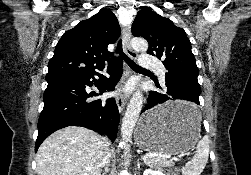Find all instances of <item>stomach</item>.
I'll use <instances>...</instances> for the list:
<instances>
[{
	"instance_id": "0dacf381",
	"label": "stomach",
	"mask_w": 251,
	"mask_h": 175,
	"mask_svg": "<svg viewBox=\"0 0 251 175\" xmlns=\"http://www.w3.org/2000/svg\"><path fill=\"white\" fill-rule=\"evenodd\" d=\"M192 100H165L163 107L143 113L138 121L136 141L150 154L178 155L197 143L201 115L194 114Z\"/></svg>"
}]
</instances>
